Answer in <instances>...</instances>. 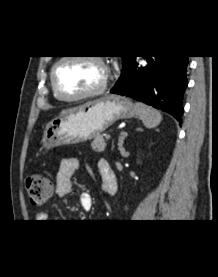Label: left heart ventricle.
<instances>
[{
    "instance_id": "left-heart-ventricle-1",
    "label": "left heart ventricle",
    "mask_w": 218,
    "mask_h": 277,
    "mask_svg": "<svg viewBox=\"0 0 218 277\" xmlns=\"http://www.w3.org/2000/svg\"><path fill=\"white\" fill-rule=\"evenodd\" d=\"M103 70L95 62L83 59H69L56 69V80L61 92L76 96L99 86Z\"/></svg>"
}]
</instances>
